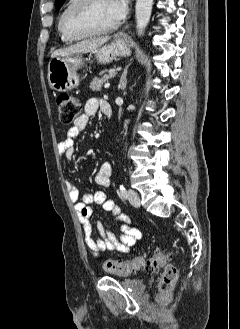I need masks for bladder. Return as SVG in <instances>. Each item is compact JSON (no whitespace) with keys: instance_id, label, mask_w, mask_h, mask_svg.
Wrapping results in <instances>:
<instances>
[{"instance_id":"31cf9c89","label":"bladder","mask_w":240,"mask_h":329,"mask_svg":"<svg viewBox=\"0 0 240 329\" xmlns=\"http://www.w3.org/2000/svg\"><path fill=\"white\" fill-rule=\"evenodd\" d=\"M119 281L123 286L135 290L137 292H142L145 288L144 283L136 278H120Z\"/></svg>"}]
</instances>
